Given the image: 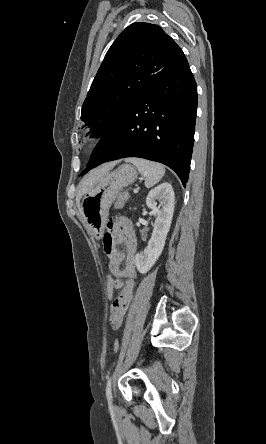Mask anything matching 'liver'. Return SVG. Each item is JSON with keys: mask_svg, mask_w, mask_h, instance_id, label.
<instances>
[{"mask_svg": "<svg viewBox=\"0 0 266 444\" xmlns=\"http://www.w3.org/2000/svg\"><path fill=\"white\" fill-rule=\"evenodd\" d=\"M116 162H110L103 164L93 172H91L85 179L81 182L78 196L76 198V203L80 209V199L86 194L106 173L109 172L114 166ZM81 212V210H80Z\"/></svg>", "mask_w": 266, "mask_h": 444, "instance_id": "1", "label": "liver"}]
</instances>
